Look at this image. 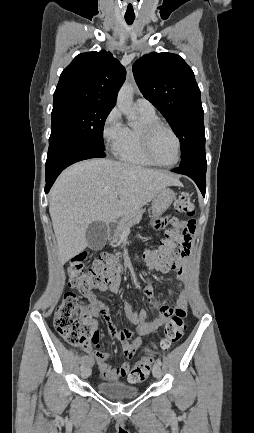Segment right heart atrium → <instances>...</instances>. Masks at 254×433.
I'll use <instances>...</instances> for the list:
<instances>
[{
  "mask_svg": "<svg viewBox=\"0 0 254 433\" xmlns=\"http://www.w3.org/2000/svg\"><path fill=\"white\" fill-rule=\"evenodd\" d=\"M124 128L119 109L117 107L112 108L106 115L102 125V137L108 149L116 151Z\"/></svg>",
  "mask_w": 254,
  "mask_h": 433,
  "instance_id": "d8ad5b80",
  "label": "right heart atrium"
}]
</instances>
